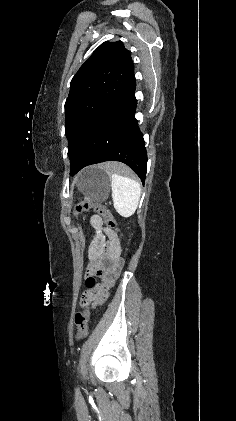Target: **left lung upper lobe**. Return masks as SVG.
Instances as JSON below:
<instances>
[{
    "mask_svg": "<svg viewBox=\"0 0 236 421\" xmlns=\"http://www.w3.org/2000/svg\"><path fill=\"white\" fill-rule=\"evenodd\" d=\"M134 71L122 42H105L80 67L65 103L70 164L79 158L98 119L122 93Z\"/></svg>",
    "mask_w": 236,
    "mask_h": 421,
    "instance_id": "left-lung-upper-lobe-1",
    "label": "left lung upper lobe"
}]
</instances>
